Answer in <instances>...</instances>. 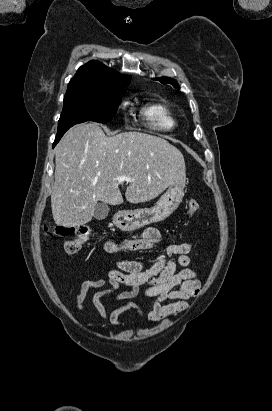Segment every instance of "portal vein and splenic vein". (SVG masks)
Segmentation results:
<instances>
[{"label": "portal vein and splenic vein", "mask_w": 272, "mask_h": 411, "mask_svg": "<svg viewBox=\"0 0 272 411\" xmlns=\"http://www.w3.org/2000/svg\"><path fill=\"white\" fill-rule=\"evenodd\" d=\"M116 179H117L118 181H120V182H123V181L133 182L132 179L128 178V177L125 176V175H120V176L116 177Z\"/></svg>", "instance_id": "portal-vein-and-splenic-vein-1"}]
</instances>
